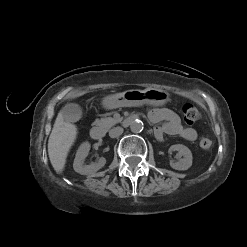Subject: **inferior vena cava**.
Returning <instances> with one entry per match:
<instances>
[{
    "instance_id": "obj_1",
    "label": "inferior vena cava",
    "mask_w": 247,
    "mask_h": 247,
    "mask_svg": "<svg viewBox=\"0 0 247 247\" xmlns=\"http://www.w3.org/2000/svg\"><path fill=\"white\" fill-rule=\"evenodd\" d=\"M123 133V128L122 127H114L109 131V136L111 138H116L120 136Z\"/></svg>"
}]
</instances>
